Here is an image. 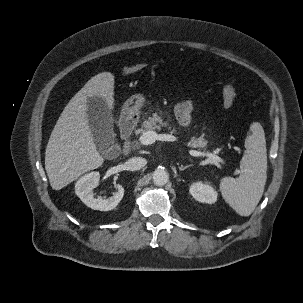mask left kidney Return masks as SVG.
<instances>
[{
    "label": "left kidney",
    "instance_id": "1",
    "mask_svg": "<svg viewBox=\"0 0 303 303\" xmlns=\"http://www.w3.org/2000/svg\"><path fill=\"white\" fill-rule=\"evenodd\" d=\"M190 194L199 202L212 204L217 201V192L208 183L195 182L190 186Z\"/></svg>",
    "mask_w": 303,
    "mask_h": 303
}]
</instances>
